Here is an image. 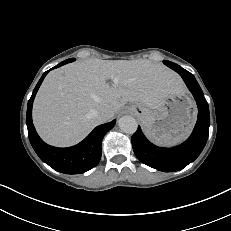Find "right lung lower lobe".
<instances>
[{"instance_id": "obj_1", "label": "right lung lower lobe", "mask_w": 231, "mask_h": 231, "mask_svg": "<svg viewBox=\"0 0 231 231\" xmlns=\"http://www.w3.org/2000/svg\"><path fill=\"white\" fill-rule=\"evenodd\" d=\"M74 61L67 59L57 66ZM49 72L46 71L37 83L31 98L28 101L26 124L30 143L40 159L54 170L65 174H80L94 168L101 158V143L104 135L114 127L116 120L97 126L82 142L69 148H56L47 145L38 136L32 123V106L35 95Z\"/></svg>"}]
</instances>
